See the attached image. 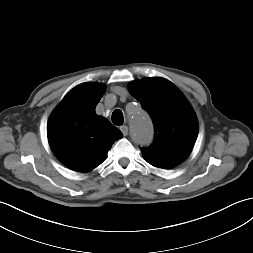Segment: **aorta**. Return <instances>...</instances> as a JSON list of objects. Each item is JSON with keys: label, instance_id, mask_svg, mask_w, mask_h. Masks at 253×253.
Instances as JSON below:
<instances>
[{"label": "aorta", "instance_id": "1", "mask_svg": "<svg viewBox=\"0 0 253 253\" xmlns=\"http://www.w3.org/2000/svg\"><path fill=\"white\" fill-rule=\"evenodd\" d=\"M130 135L132 140L139 146H147L153 139V126L147 113L140 107L130 115Z\"/></svg>", "mask_w": 253, "mask_h": 253}]
</instances>
